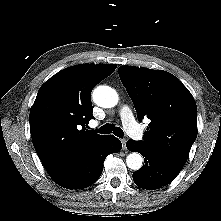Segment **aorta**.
Masks as SVG:
<instances>
[{
  "mask_svg": "<svg viewBox=\"0 0 221 221\" xmlns=\"http://www.w3.org/2000/svg\"><path fill=\"white\" fill-rule=\"evenodd\" d=\"M94 102L103 108L114 107L119 100L117 92L109 86H98L92 94ZM143 158L139 153H131L126 157V164L132 170H139L142 167Z\"/></svg>",
  "mask_w": 221,
  "mask_h": 221,
  "instance_id": "obj_1",
  "label": "aorta"
}]
</instances>
